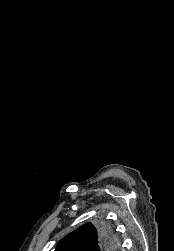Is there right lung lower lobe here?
<instances>
[{
  "label": "right lung lower lobe",
  "instance_id": "1",
  "mask_svg": "<svg viewBox=\"0 0 174 251\" xmlns=\"http://www.w3.org/2000/svg\"><path fill=\"white\" fill-rule=\"evenodd\" d=\"M115 248L112 231L104 226L100 227V241L92 251H113Z\"/></svg>",
  "mask_w": 174,
  "mask_h": 251
}]
</instances>
